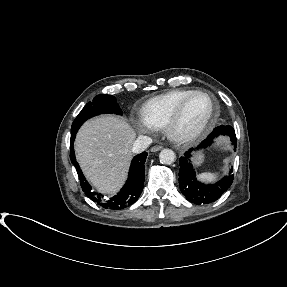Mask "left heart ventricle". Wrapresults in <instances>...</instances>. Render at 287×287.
Wrapping results in <instances>:
<instances>
[{
	"instance_id": "obj_1",
	"label": "left heart ventricle",
	"mask_w": 287,
	"mask_h": 287,
	"mask_svg": "<svg viewBox=\"0 0 287 287\" xmlns=\"http://www.w3.org/2000/svg\"><path fill=\"white\" fill-rule=\"evenodd\" d=\"M211 109L210 101L204 96H195L187 104L182 120L180 122V129L188 131L200 126L206 119Z\"/></svg>"
}]
</instances>
